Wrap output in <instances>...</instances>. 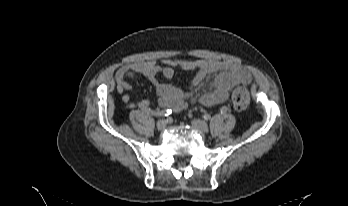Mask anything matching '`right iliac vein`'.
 <instances>
[{
    "mask_svg": "<svg viewBox=\"0 0 348 206\" xmlns=\"http://www.w3.org/2000/svg\"><path fill=\"white\" fill-rule=\"evenodd\" d=\"M166 125H167V122H166V120H159L157 123H156V127H157V129L158 130H164L165 129V127H166Z\"/></svg>",
    "mask_w": 348,
    "mask_h": 206,
    "instance_id": "1",
    "label": "right iliac vein"
}]
</instances>
